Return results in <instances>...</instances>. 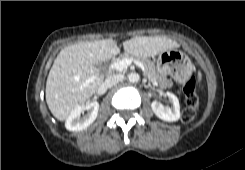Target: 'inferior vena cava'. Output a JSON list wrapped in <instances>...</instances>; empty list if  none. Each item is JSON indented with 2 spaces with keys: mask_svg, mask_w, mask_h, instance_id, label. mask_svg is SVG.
Listing matches in <instances>:
<instances>
[{
  "mask_svg": "<svg viewBox=\"0 0 245 170\" xmlns=\"http://www.w3.org/2000/svg\"><path fill=\"white\" fill-rule=\"evenodd\" d=\"M123 79H124V76L122 74L111 75L105 79L104 86L107 88H111L112 86L122 81Z\"/></svg>",
  "mask_w": 245,
  "mask_h": 170,
  "instance_id": "obj_1",
  "label": "inferior vena cava"
}]
</instances>
